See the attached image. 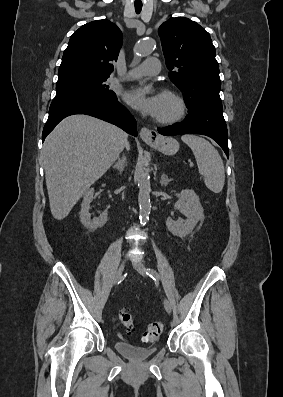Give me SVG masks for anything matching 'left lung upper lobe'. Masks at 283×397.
I'll list each match as a JSON object with an SVG mask.
<instances>
[{
	"mask_svg": "<svg viewBox=\"0 0 283 397\" xmlns=\"http://www.w3.org/2000/svg\"><path fill=\"white\" fill-rule=\"evenodd\" d=\"M172 82L183 92L187 108L223 111L221 80L210 34L196 22L170 18L158 29Z\"/></svg>",
	"mask_w": 283,
	"mask_h": 397,
	"instance_id": "obj_1",
	"label": "left lung upper lobe"
}]
</instances>
